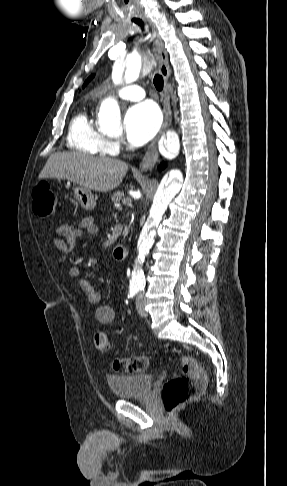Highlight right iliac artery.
Returning <instances> with one entry per match:
<instances>
[{"instance_id":"82829eb1","label":"right iliac artery","mask_w":287,"mask_h":486,"mask_svg":"<svg viewBox=\"0 0 287 486\" xmlns=\"http://www.w3.org/2000/svg\"><path fill=\"white\" fill-rule=\"evenodd\" d=\"M138 291H139V289L137 287H131L130 288V297H133L134 295H136Z\"/></svg>"}]
</instances>
